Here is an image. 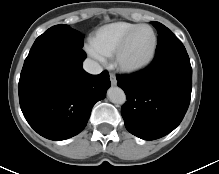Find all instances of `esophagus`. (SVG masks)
<instances>
[{
	"mask_svg": "<svg viewBox=\"0 0 219 174\" xmlns=\"http://www.w3.org/2000/svg\"><path fill=\"white\" fill-rule=\"evenodd\" d=\"M110 81L112 85H116L117 84V80H116V76L113 73H110Z\"/></svg>",
	"mask_w": 219,
	"mask_h": 174,
	"instance_id": "1",
	"label": "esophagus"
}]
</instances>
